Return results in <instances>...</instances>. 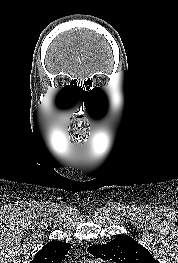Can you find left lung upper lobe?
<instances>
[{
  "mask_svg": "<svg viewBox=\"0 0 178 263\" xmlns=\"http://www.w3.org/2000/svg\"><path fill=\"white\" fill-rule=\"evenodd\" d=\"M88 251L113 263H159L145 247L129 236H118L107 244L89 246Z\"/></svg>",
  "mask_w": 178,
  "mask_h": 263,
  "instance_id": "5c2ea615",
  "label": "left lung upper lobe"
}]
</instances>
